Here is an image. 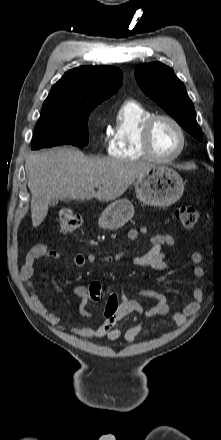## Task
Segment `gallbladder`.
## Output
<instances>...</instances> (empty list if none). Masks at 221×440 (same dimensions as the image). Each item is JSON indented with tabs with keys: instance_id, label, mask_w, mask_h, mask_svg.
<instances>
[{
	"instance_id": "gallbladder-1",
	"label": "gallbladder",
	"mask_w": 221,
	"mask_h": 440,
	"mask_svg": "<svg viewBox=\"0 0 221 440\" xmlns=\"http://www.w3.org/2000/svg\"><path fill=\"white\" fill-rule=\"evenodd\" d=\"M57 203H58V200L55 199V200H52V201H51L50 205H51V206H55V205H57Z\"/></svg>"
}]
</instances>
